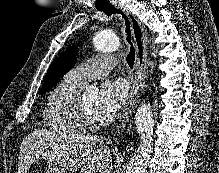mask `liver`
<instances>
[{
	"mask_svg": "<svg viewBox=\"0 0 219 173\" xmlns=\"http://www.w3.org/2000/svg\"><path fill=\"white\" fill-rule=\"evenodd\" d=\"M38 159L56 161L68 170L80 173H110L112 157L97 135L57 134L36 130L22 142L18 173H27Z\"/></svg>",
	"mask_w": 219,
	"mask_h": 173,
	"instance_id": "6515ba94",
	"label": "liver"
}]
</instances>
